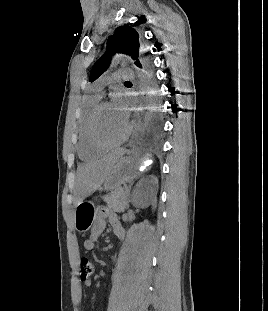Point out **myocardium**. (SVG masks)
I'll return each mask as SVG.
<instances>
[{
    "label": "myocardium",
    "mask_w": 268,
    "mask_h": 311,
    "mask_svg": "<svg viewBox=\"0 0 268 311\" xmlns=\"http://www.w3.org/2000/svg\"><path fill=\"white\" fill-rule=\"evenodd\" d=\"M108 104L109 103L107 101H102L97 104V106L94 108L91 114V117L89 120V126H88L90 141L95 147L101 150L111 149V148L121 145L128 139L131 133V126L127 124L124 134L118 140L113 141V142H106L100 138L98 134V129H97L98 119H99L102 109Z\"/></svg>",
    "instance_id": "myocardium-1"
}]
</instances>
